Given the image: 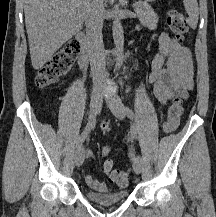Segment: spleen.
I'll use <instances>...</instances> for the list:
<instances>
[{"label":"spleen","mask_w":216,"mask_h":217,"mask_svg":"<svg viewBox=\"0 0 216 217\" xmlns=\"http://www.w3.org/2000/svg\"><path fill=\"white\" fill-rule=\"evenodd\" d=\"M185 10L188 14L187 23L193 29H196L199 17V8L197 0H183Z\"/></svg>","instance_id":"3e777b00"}]
</instances>
